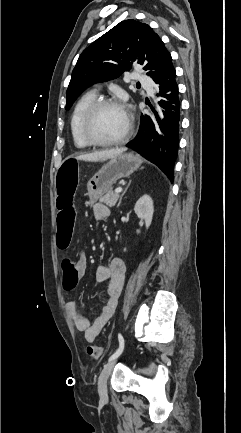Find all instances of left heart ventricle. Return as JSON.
I'll return each mask as SVG.
<instances>
[{
    "label": "left heart ventricle",
    "mask_w": 241,
    "mask_h": 433,
    "mask_svg": "<svg viewBox=\"0 0 241 433\" xmlns=\"http://www.w3.org/2000/svg\"><path fill=\"white\" fill-rule=\"evenodd\" d=\"M127 127V114L119 106H108L99 111L93 125L94 135L102 140L120 137Z\"/></svg>",
    "instance_id": "left-heart-ventricle-1"
}]
</instances>
